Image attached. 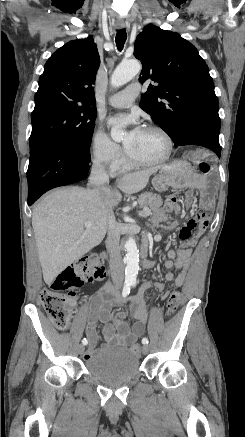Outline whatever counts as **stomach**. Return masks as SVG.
Instances as JSON below:
<instances>
[{"instance_id":"obj_1","label":"stomach","mask_w":245,"mask_h":437,"mask_svg":"<svg viewBox=\"0 0 245 437\" xmlns=\"http://www.w3.org/2000/svg\"><path fill=\"white\" fill-rule=\"evenodd\" d=\"M193 170L187 161L176 160L164 166L153 178L152 184L159 192L165 191L168 187L182 189L191 185Z\"/></svg>"}]
</instances>
